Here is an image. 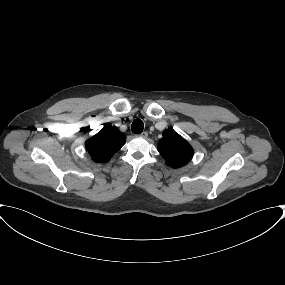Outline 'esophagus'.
Wrapping results in <instances>:
<instances>
[{
	"label": "esophagus",
	"mask_w": 285,
	"mask_h": 285,
	"mask_svg": "<svg viewBox=\"0 0 285 285\" xmlns=\"http://www.w3.org/2000/svg\"><path fill=\"white\" fill-rule=\"evenodd\" d=\"M139 136L142 137V138H147L148 133L147 132H142Z\"/></svg>",
	"instance_id": "esophagus-1"
}]
</instances>
